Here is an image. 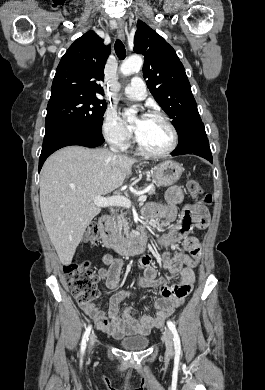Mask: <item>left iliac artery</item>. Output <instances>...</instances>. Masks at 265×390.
I'll return each instance as SVG.
<instances>
[{
  "instance_id": "left-iliac-artery-1",
  "label": "left iliac artery",
  "mask_w": 265,
  "mask_h": 390,
  "mask_svg": "<svg viewBox=\"0 0 265 390\" xmlns=\"http://www.w3.org/2000/svg\"><path fill=\"white\" fill-rule=\"evenodd\" d=\"M167 326L171 330L174 336L173 340H174L175 353L179 355L181 353V344H180V338L176 330L175 324L172 321H167Z\"/></svg>"
}]
</instances>
